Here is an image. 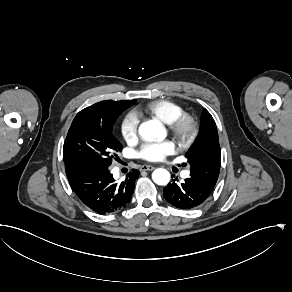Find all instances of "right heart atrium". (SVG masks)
<instances>
[{"mask_svg": "<svg viewBox=\"0 0 292 292\" xmlns=\"http://www.w3.org/2000/svg\"><path fill=\"white\" fill-rule=\"evenodd\" d=\"M139 118L134 110L123 114L119 124V131L127 144H134L138 140Z\"/></svg>", "mask_w": 292, "mask_h": 292, "instance_id": "1", "label": "right heart atrium"}]
</instances>
